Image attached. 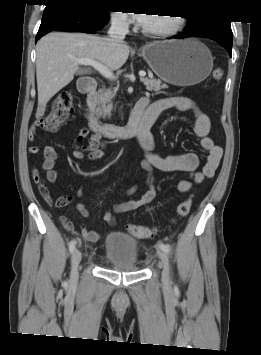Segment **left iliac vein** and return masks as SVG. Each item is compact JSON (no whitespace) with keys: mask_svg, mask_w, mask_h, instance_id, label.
Here are the masks:
<instances>
[{"mask_svg":"<svg viewBox=\"0 0 261 355\" xmlns=\"http://www.w3.org/2000/svg\"><path fill=\"white\" fill-rule=\"evenodd\" d=\"M159 257L161 259V266H162V282L164 284H168L170 281L169 258L167 254L163 251L159 252Z\"/></svg>","mask_w":261,"mask_h":355,"instance_id":"left-iliac-vein-1","label":"left iliac vein"}]
</instances>
